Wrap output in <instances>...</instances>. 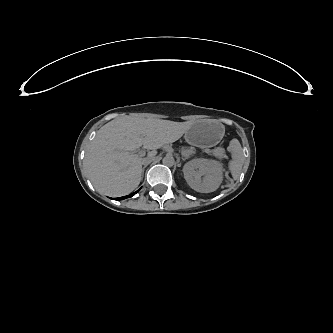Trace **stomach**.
<instances>
[{"instance_id":"stomach-1","label":"stomach","mask_w":333,"mask_h":333,"mask_svg":"<svg viewBox=\"0 0 333 333\" xmlns=\"http://www.w3.org/2000/svg\"><path fill=\"white\" fill-rule=\"evenodd\" d=\"M186 140H187V142L189 143V144H191V145H194V146H196V145H201V143L200 142H197L195 139H193L191 136H186Z\"/></svg>"}]
</instances>
